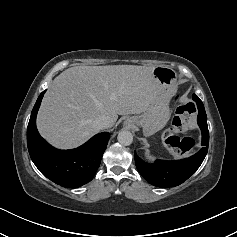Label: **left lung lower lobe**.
I'll return each mask as SVG.
<instances>
[{
  "mask_svg": "<svg viewBox=\"0 0 237 237\" xmlns=\"http://www.w3.org/2000/svg\"><path fill=\"white\" fill-rule=\"evenodd\" d=\"M197 121L202 131V148L193 156L176 161L157 160L155 163L149 164L139 158L136 153L134 154L138 171L150 184L163 188L178 186L200 167L209 145L206 112H199Z\"/></svg>",
  "mask_w": 237,
  "mask_h": 237,
  "instance_id": "obj_1",
  "label": "left lung lower lobe"
}]
</instances>
